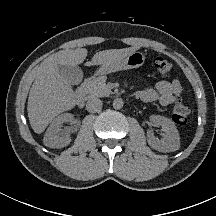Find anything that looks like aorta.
I'll return each instance as SVG.
<instances>
[{"label": "aorta", "instance_id": "762f6f07", "mask_svg": "<svg viewBox=\"0 0 216 216\" xmlns=\"http://www.w3.org/2000/svg\"><path fill=\"white\" fill-rule=\"evenodd\" d=\"M123 105H124V102L121 98L114 99V101H113V108L114 109H117V110L121 109V108H123Z\"/></svg>", "mask_w": 216, "mask_h": 216}]
</instances>
